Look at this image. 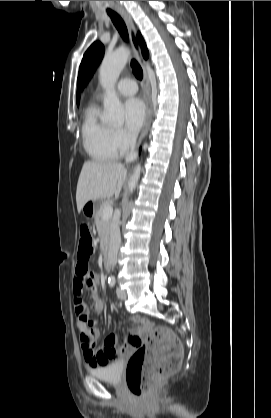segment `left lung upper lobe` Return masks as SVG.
Wrapping results in <instances>:
<instances>
[{
	"mask_svg": "<svg viewBox=\"0 0 271 418\" xmlns=\"http://www.w3.org/2000/svg\"><path fill=\"white\" fill-rule=\"evenodd\" d=\"M104 54V46L100 42H94L84 54L80 64L77 86L84 88L89 81L95 68L101 61Z\"/></svg>",
	"mask_w": 271,
	"mask_h": 418,
	"instance_id": "left-lung-upper-lobe-1",
	"label": "left lung upper lobe"
}]
</instances>
